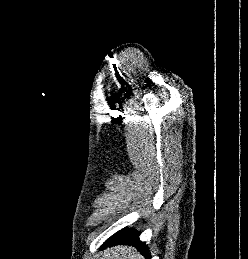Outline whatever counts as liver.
I'll list each match as a JSON object with an SVG mask.
<instances>
[{
	"label": "liver",
	"mask_w": 248,
	"mask_h": 259,
	"mask_svg": "<svg viewBox=\"0 0 248 259\" xmlns=\"http://www.w3.org/2000/svg\"><path fill=\"white\" fill-rule=\"evenodd\" d=\"M101 259H144L139 252L131 246L111 247L104 251Z\"/></svg>",
	"instance_id": "obj_1"
}]
</instances>
